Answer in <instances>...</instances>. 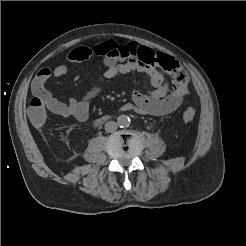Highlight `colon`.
Wrapping results in <instances>:
<instances>
[{"label":"colon","mask_w":246,"mask_h":246,"mask_svg":"<svg viewBox=\"0 0 246 246\" xmlns=\"http://www.w3.org/2000/svg\"><path fill=\"white\" fill-rule=\"evenodd\" d=\"M135 56L137 60L145 65L159 66L167 75L173 79L172 90L180 94H186L188 91V75L185 69L173 57L161 52L140 46L137 48ZM49 106L47 101L35 96L30 100L28 113L32 123L35 126H42L48 116ZM195 117V109L193 107L186 108L181 116V121L185 124L193 121Z\"/></svg>","instance_id":"colon-1"}]
</instances>
